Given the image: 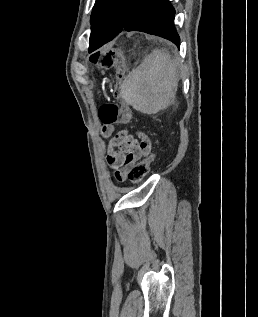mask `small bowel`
Wrapping results in <instances>:
<instances>
[{
  "label": "small bowel",
  "mask_w": 258,
  "mask_h": 317,
  "mask_svg": "<svg viewBox=\"0 0 258 317\" xmlns=\"http://www.w3.org/2000/svg\"><path fill=\"white\" fill-rule=\"evenodd\" d=\"M104 136L108 137L112 129L103 127ZM152 149L150 138L143 132L136 134L128 130L118 132L111 138L107 149V163L115 170V177L119 182L126 180L127 173L132 166L137 164Z\"/></svg>",
  "instance_id": "obj_1"
}]
</instances>
